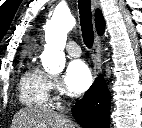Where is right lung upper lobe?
I'll list each match as a JSON object with an SVG mask.
<instances>
[{"label":"right lung upper lobe","mask_w":142,"mask_h":128,"mask_svg":"<svg viewBox=\"0 0 142 128\" xmlns=\"http://www.w3.org/2000/svg\"><path fill=\"white\" fill-rule=\"evenodd\" d=\"M95 23H96V29L99 35H102L105 29V22L102 16V13L100 10H96L95 13Z\"/></svg>","instance_id":"right-lung-upper-lobe-1"}]
</instances>
